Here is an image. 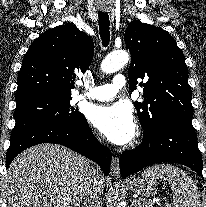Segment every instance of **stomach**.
<instances>
[{
    "label": "stomach",
    "mask_w": 206,
    "mask_h": 207,
    "mask_svg": "<svg viewBox=\"0 0 206 207\" xmlns=\"http://www.w3.org/2000/svg\"><path fill=\"white\" fill-rule=\"evenodd\" d=\"M128 188L144 197L154 196L157 192V182L148 176L133 177L127 181Z\"/></svg>",
    "instance_id": "1"
}]
</instances>
